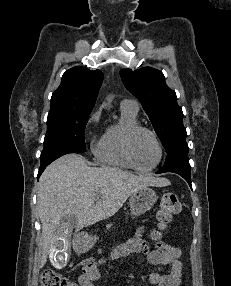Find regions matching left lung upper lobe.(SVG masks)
I'll list each match as a JSON object with an SVG mask.
<instances>
[{"mask_svg":"<svg viewBox=\"0 0 231 286\" xmlns=\"http://www.w3.org/2000/svg\"><path fill=\"white\" fill-rule=\"evenodd\" d=\"M120 76L125 87L141 102L166 152L186 140L182 109L161 71L150 67L135 71L122 69Z\"/></svg>","mask_w":231,"mask_h":286,"instance_id":"obj_1","label":"left lung upper lobe"}]
</instances>
